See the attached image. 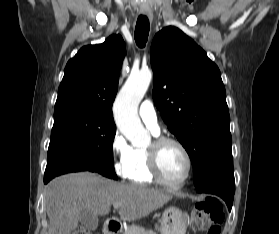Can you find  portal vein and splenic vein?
<instances>
[{
  "label": "portal vein and splenic vein",
  "instance_id": "portal-vein-and-splenic-vein-1",
  "mask_svg": "<svg viewBox=\"0 0 279 234\" xmlns=\"http://www.w3.org/2000/svg\"><path fill=\"white\" fill-rule=\"evenodd\" d=\"M121 205H122L121 203H114V204H113V206H114L115 209L120 208Z\"/></svg>",
  "mask_w": 279,
  "mask_h": 234
}]
</instances>
